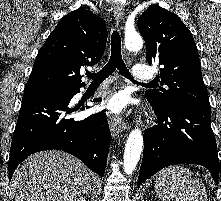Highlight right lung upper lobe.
Wrapping results in <instances>:
<instances>
[{
  "instance_id": "cb5924a9",
  "label": "right lung upper lobe",
  "mask_w": 221,
  "mask_h": 201,
  "mask_svg": "<svg viewBox=\"0 0 221 201\" xmlns=\"http://www.w3.org/2000/svg\"><path fill=\"white\" fill-rule=\"evenodd\" d=\"M103 19L84 9L65 15L41 47L24 90H66L84 86L80 71L97 64L104 53Z\"/></svg>"
}]
</instances>
